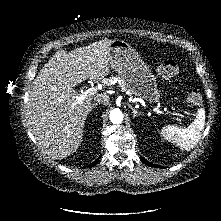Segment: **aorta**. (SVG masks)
Returning a JSON list of instances; mask_svg holds the SVG:
<instances>
[{
  "label": "aorta",
  "instance_id": "aorta-1",
  "mask_svg": "<svg viewBox=\"0 0 221 221\" xmlns=\"http://www.w3.org/2000/svg\"><path fill=\"white\" fill-rule=\"evenodd\" d=\"M109 117L110 121L114 124H119L123 121V113L118 108L111 110Z\"/></svg>",
  "mask_w": 221,
  "mask_h": 221
}]
</instances>
